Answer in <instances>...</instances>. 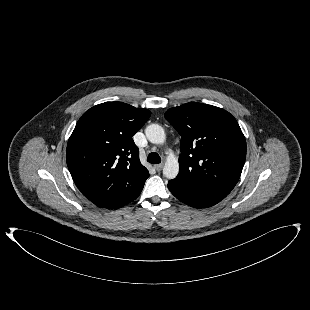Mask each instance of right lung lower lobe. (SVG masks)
I'll return each mask as SVG.
<instances>
[{
	"mask_svg": "<svg viewBox=\"0 0 310 310\" xmlns=\"http://www.w3.org/2000/svg\"><path fill=\"white\" fill-rule=\"evenodd\" d=\"M138 197V196H137ZM136 197V198H137ZM135 199V198H134ZM133 199V200H134ZM133 200H131V201H133ZM131 201H129V202H127V203H130ZM127 203H125V204H127ZM125 204H122V205H116V206H112V207H108V208H111V209H117V208H120V207H122V206H124Z\"/></svg>",
	"mask_w": 310,
	"mask_h": 310,
	"instance_id": "right-lung-lower-lobe-1",
	"label": "right lung lower lobe"
}]
</instances>
